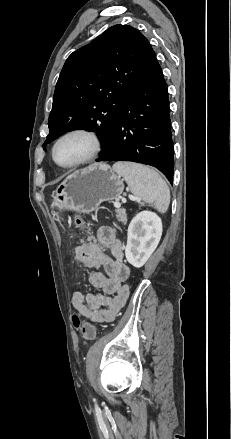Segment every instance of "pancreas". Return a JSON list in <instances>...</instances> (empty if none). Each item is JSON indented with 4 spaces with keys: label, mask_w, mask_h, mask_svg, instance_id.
I'll use <instances>...</instances> for the list:
<instances>
[{
    "label": "pancreas",
    "mask_w": 231,
    "mask_h": 439,
    "mask_svg": "<svg viewBox=\"0 0 231 439\" xmlns=\"http://www.w3.org/2000/svg\"><path fill=\"white\" fill-rule=\"evenodd\" d=\"M116 217L119 222H121L123 225H126L127 223V217L124 209H117L116 210Z\"/></svg>",
    "instance_id": "pancreas-1"
}]
</instances>
